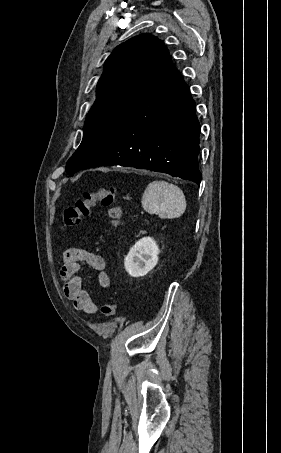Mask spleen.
<instances>
[{"instance_id":"spleen-1","label":"spleen","mask_w":281,"mask_h":453,"mask_svg":"<svg viewBox=\"0 0 281 453\" xmlns=\"http://www.w3.org/2000/svg\"><path fill=\"white\" fill-rule=\"evenodd\" d=\"M142 206L150 214H159L160 218H177L185 212L186 200L183 190L166 180H154L145 188Z\"/></svg>"}]
</instances>
